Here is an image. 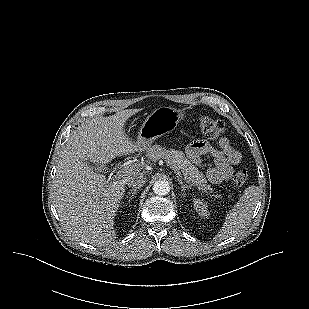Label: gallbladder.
Wrapping results in <instances>:
<instances>
[{
	"instance_id": "bac80fb5",
	"label": "gallbladder",
	"mask_w": 309,
	"mask_h": 309,
	"mask_svg": "<svg viewBox=\"0 0 309 309\" xmlns=\"http://www.w3.org/2000/svg\"><path fill=\"white\" fill-rule=\"evenodd\" d=\"M93 167L94 170L96 171H104V167L101 165H91Z\"/></svg>"
}]
</instances>
